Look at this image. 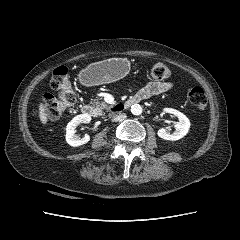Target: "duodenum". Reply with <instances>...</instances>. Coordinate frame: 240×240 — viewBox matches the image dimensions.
Returning <instances> with one entry per match:
<instances>
[{
    "label": "duodenum",
    "mask_w": 240,
    "mask_h": 240,
    "mask_svg": "<svg viewBox=\"0 0 240 240\" xmlns=\"http://www.w3.org/2000/svg\"><path fill=\"white\" fill-rule=\"evenodd\" d=\"M142 99H143V97L141 95L136 94V95L130 97L129 99H127L126 101L116 104L112 110L115 112H121V111L139 103ZM82 113L85 115H88V116L95 115L94 109L89 105L82 106Z\"/></svg>",
    "instance_id": "410a0bca"
}]
</instances>
